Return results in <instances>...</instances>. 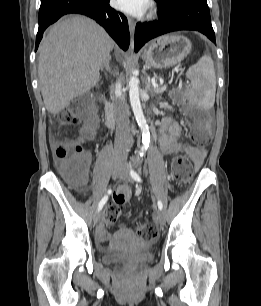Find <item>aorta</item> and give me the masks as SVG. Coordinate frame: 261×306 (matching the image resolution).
<instances>
[{
  "label": "aorta",
  "mask_w": 261,
  "mask_h": 306,
  "mask_svg": "<svg viewBox=\"0 0 261 306\" xmlns=\"http://www.w3.org/2000/svg\"><path fill=\"white\" fill-rule=\"evenodd\" d=\"M129 99L134 116L142 132L143 146L141 151L143 153L149 145L150 134L140 103L138 79L134 75L130 78Z\"/></svg>",
  "instance_id": "aorta-1"
}]
</instances>
